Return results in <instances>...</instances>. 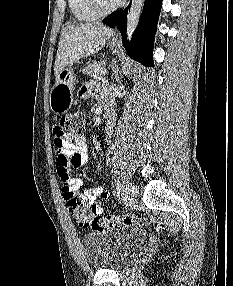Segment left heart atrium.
Instances as JSON below:
<instances>
[{
    "instance_id": "obj_1",
    "label": "left heart atrium",
    "mask_w": 233,
    "mask_h": 286,
    "mask_svg": "<svg viewBox=\"0 0 233 286\" xmlns=\"http://www.w3.org/2000/svg\"><path fill=\"white\" fill-rule=\"evenodd\" d=\"M121 1H122V0H115V2H117V3H118V2H121Z\"/></svg>"
}]
</instances>
